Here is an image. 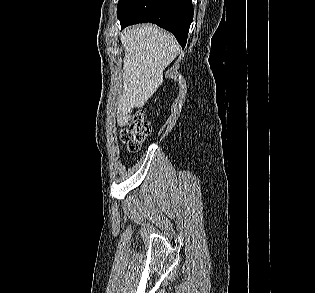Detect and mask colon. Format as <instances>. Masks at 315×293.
<instances>
[{
  "label": "colon",
  "mask_w": 315,
  "mask_h": 293,
  "mask_svg": "<svg viewBox=\"0 0 315 293\" xmlns=\"http://www.w3.org/2000/svg\"><path fill=\"white\" fill-rule=\"evenodd\" d=\"M151 128L143 113L137 112L122 131V140L130 152H138Z\"/></svg>",
  "instance_id": "colon-1"
}]
</instances>
